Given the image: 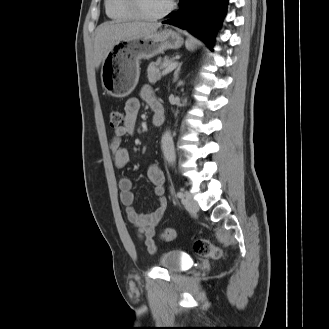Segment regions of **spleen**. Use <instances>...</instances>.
<instances>
[{
	"instance_id": "1",
	"label": "spleen",
	"mask_w": 329,
	"mask_h": 329,
	"mask_svg": "<svg viewBox=\"0 0 329 329\" xmlns=\"http://www.w3.org/2000/svg\"><path fill=\"white\" fill-rule=\"evenodd\" d=\"M186 47L189 49V50H193L195 48V44L192 40H187L186 41Z\"/></svg>"
}]
</instances>
